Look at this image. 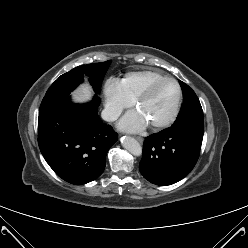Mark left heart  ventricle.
Returning <instances> with one entry per match:
<instances>
[{
    "instance_id": "1",
    "label": "left heart ventricle",
    "mask_w": 248,
    "mask_h": 248,
    "mask_svg": "<svg viewBox=\"0 0 248 248\" xmlns=\"http://www.w3.org/2000/svg\"><path fill=\"white\" fill-rule=\"evenodd\" d=\"M177 97L178 91L175 84L163 82L139 105V110L149 123L161 121L173 111Z\"/></svg>"
}]
</instances>
